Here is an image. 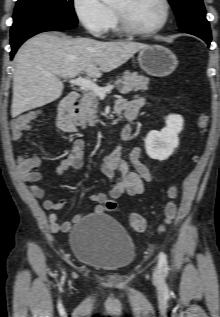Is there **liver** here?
<instances>
[{"mask_svg": "<svg viewBox=\"0 0 220 317\" xmlns=\"http://www.w3.org/2000/svg\"><path fill=\"white\" fill-rule=\"evenodd\" d=\"M146 47L137 42H102L48 32L34 36L14 58L12 117L58 99L64 88L60 77L85 73L89 78H99Z\"/></svg>", "mask_w": 220, "mask_h": 317, "instance_id": "1", "label": "liver"}]
</instances>
